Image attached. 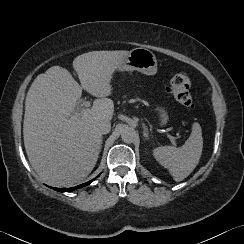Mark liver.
<instances>
[{"label":"liver","instance_id":"obj_1","mask_svg":"<svg viewBox=\"0 0 244 244\" xmlns=\"http://www.w3.org/2000/svg\"><path fill=\"white\" fill-rule=\"evenodd\" d=\"M129 51H92L77 56L70 72L52 66L36 77L25 101L23 136L30 164L44 181L69 186L84 180L95 167L102 144L97 130L111 120L112 75ZM82 88L97 99L91 109H75Z\"/></svg>","mask_w":244,"mask_h":244}]
</instances>
